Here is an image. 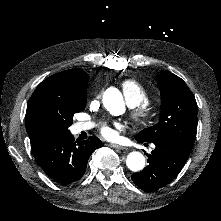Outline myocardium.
Listing matches in <instances>:
<instances>
[{"instance_id":"myocardium-1","label":"myocardium","mask_w":221,"mask_h":221,"mask_svg":"<svg viewBox=\"0 0 221 221\" xmlns=\"http://www.w3.org/2000/svg\"><path fill=\"white\" fill-rule=\"evenodd\" d=\"M143 120L141 122L142 126L150 127L152 126L158 119L159 113L158 109L154 104L149 105L142 111Z\"/></svg>"}]
</instances>
